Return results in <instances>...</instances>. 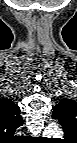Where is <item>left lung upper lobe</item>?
I'll use <instances>...</instances> for the list:
<instances>
[{"label":"left lung upper lobe","instance_id":"left-lung-upper-lobe-1","mask_svg":"<svg viewBox=\"0 0 77 143\" xmlns=\"http://www.w3.org/2000/svg\"><path fill=\"white\" fill-rule=\"evenodd\" d=\"M52 118L61 123L65 137L68 138L77 127V102L71 99L59 102L53 109Z\"/></svg>","mask_w":77,"mask_h":143}]
</instances>
